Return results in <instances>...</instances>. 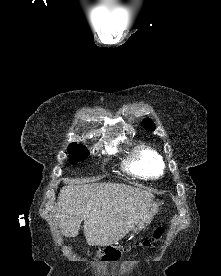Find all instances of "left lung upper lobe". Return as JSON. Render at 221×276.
<instances>
[{
	"label": "left lung upper lobe",
	"instance_id": "1",
	"mask_svg": "<svg viewBox=\"0 0 221 276\" xmlns=\"http://www.w3.org/2000/svg\"><path fill=\"white\" fill-rule=\"evenodd\" d=\"M142 125L147 129V130H155V124L153 121L149 118H146L143 120Z\"/></svg>",
	"mask_w": 221,
	"mask_h": 276
}]
</instances>
